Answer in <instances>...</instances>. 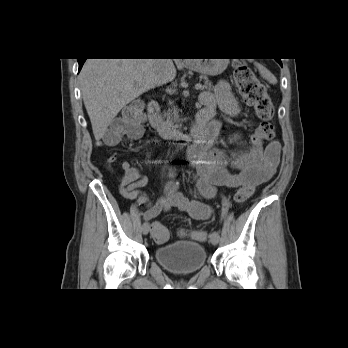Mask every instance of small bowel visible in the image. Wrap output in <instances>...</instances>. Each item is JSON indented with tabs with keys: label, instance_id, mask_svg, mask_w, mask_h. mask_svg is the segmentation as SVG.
Here are the masks:
<instances>
[{
	"label": "small bowel",
	"instance_id": "c3829d8e",
	"mask_svg": "<svg viewBox=\"0 0 348 348\" xmlns=\"http://www.w3.org/2000/svg\"><path fill=\"white\" fill-rule=\"evenodd\" d=\"M200 101L203 107L215 108L218 104L223 112L231 116L237 115L239 111L229 84L223 80L216 84L215 93H201ZM210 128L214 136L218 135L222 129L221 121H211ZM280 150L278 141H271L265 148L253 147L234 156H228L221 150L191 147L189 154L194 164L196 186L205 198H212L218 187L236 188L264 183L277 170ZM121 170L122 174L118 179L119 191L124 198L135 200L137 206H147L145 220H152L160 212L169 211L171 208H177L194 219L205 220L210 217L211 209L207 204L185 198L172 180L166 185L165 195L155 204H151L148 196L141 190L148 183L147 177L128 161L122 162Z\"/></svg>",
	"mask_w": 348,
	"mask_h": 348
}]
</instances>
